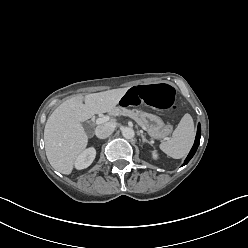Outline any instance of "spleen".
I'll use <instances>...</instances> for the list:
<instances>
[{"mask_svg":"<svg viewBox=\"0 0 248 248\" xmlns=\"http://www.w3.org/2000/svg\"><path fill=\"white\" fill-rule=\"evenodd\" d=\"M195 138L194 122L185 114L174 130L172 137L160 144V149L174 159L184 157L191 149Z\"/></svg>","mask_w":248,"mask_h":248,"instance_id":"obj_1","label":"spleen"}]
</instances>
